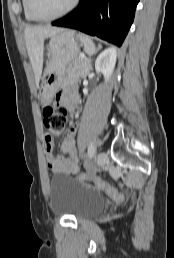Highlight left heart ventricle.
Listing matches in <instances>:
<instances>
[{"label": "left heart ventricle", "mask_w": 174, "mask_h": 258, "mask_svg": "<svg viewBox=\"0 0 174 258\" xmlns=\"http://www.w3.org/2000/svg\"><path fill=\"white\" fill-rule=\"evenodd\" d=\"M72 0H32L34 11L40 16H53L65 10Z\"/></svg>", "instance_id": "b2bd125f"}]
</instances>
